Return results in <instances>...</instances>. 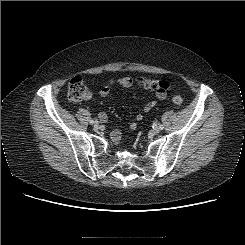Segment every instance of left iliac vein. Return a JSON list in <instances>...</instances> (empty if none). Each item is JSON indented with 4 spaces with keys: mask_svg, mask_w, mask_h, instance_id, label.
Returning a JSON list of instances; mask_svg holds the SVG:
<instances>
[{
    "mask_svg": "<svg viewBox=\"0 0 245 245\" xmlns=\"http://www.w3.org/2000/svg\"><path fill=\"white\" fill-rule=\"evenodd\" d=\"M160 131H161L160 127H155V128L152 130V132H153L154 134H159Z\"/></svg>",
    "mask_w": 245,
    "mask_h": 245,
    "instance_id": "obj_1",
    "label": "left iliac vein"
}]
</instances>
